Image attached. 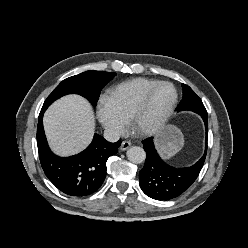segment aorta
I'll list each match as a JSON object with an SVG mask.
<instances>
[{
    "label": "aorta",
    "mask_w": 248,
    "mask_h": 248,
    "mask_svg": "<svg viewBox=\"0 0 248 248\" xmlns=\"http://www.w3.org/2000/svg\"><path fill=\"white\" fill-rule=\"evenodd\" d=\"M127 158L130 162L135 164L142 163L146 158V153L143 148L132 146L127 150Z\"/></svg>",
    "instance_id": "aorta-1"
}]
</instances>
